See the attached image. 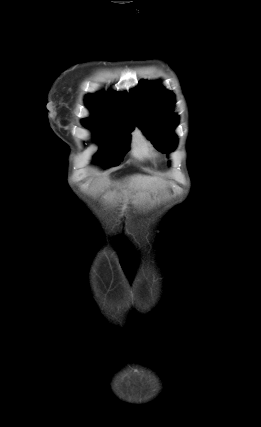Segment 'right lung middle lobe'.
<instances>
[{"mask_svg": "<svg viewBox=\"0 0 261 427\" xmlns=\"http://www.w3.org/2000/svg\"><path fill=\"white\" fill-rule=\"evenodd\" d=\"M83 125L93 129L96 140L102 145L94 159L103 167L117 166L129 149L130 133L135 125L129 122L83 120Z\"/></svg>", "mask_w": 261, "mask_h": 427, "instance_id": "1", "label": "right lung middle lobe"}]
</instances>
